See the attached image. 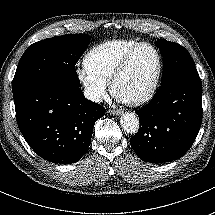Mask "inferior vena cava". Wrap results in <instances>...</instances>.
I'll return each mask as SVG.
<instances>
[{
	"instance_id": "inferior-vena-cava-1",
	"label": "inferior vena cava",
	"mask_w": 215,
	"mask_h": 215,
	"mask_svg": "<svg viewBox=\"0 0 215 215\" xmlns=\"http://www.w3.org/2000/svg\"><path fill=\"white\" fill-rule=\"evenodd\" d=\"M84 96L86 99L95 102L100 103L102 102V96L99 92V90L94 85H88L84 89Z\"/></svg>"
}]
</instances>
